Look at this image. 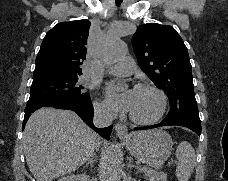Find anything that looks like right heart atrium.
Here are the masks:
<instances>
[{"label": "right heart atrium", "mask_w": 228, "mask_h": 181, "mask_svg": "<svg viewBox=\"0 0 228 181\" xmlns=\"http://www.w3.org/2000/svg\"><path fill=\"white\" fill-rule=\"evenodd\" d=\"M95 107H96V110L102 114H108L109 113L108 104L104 101L97 102Z\"/></svg>", "instance_id": "right-heart-atrium-1"}]
</instances>
